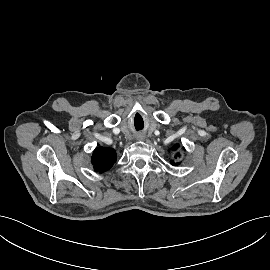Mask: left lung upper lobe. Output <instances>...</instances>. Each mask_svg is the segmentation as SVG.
Returning <instances> with one entry per match:
<instances>
[{"label":"left lung upper lobe","instance_id":"left-lung-upper-lobe-1","mask_svg":"<svg viewBox=\"0 0 270 270\" xmlns=\"http://www.w3.org/2000/svg\"><path fill=\"white\" fill-rule=\"evenodd\" d=\"M178 147H179L178 144L173 146V150H176ZM170 162H171L172 165H175V166L179 164V163L176 164L173 160H171Z\"/></svg>","mask_w":270,"mask_h":270}]
</instances>
